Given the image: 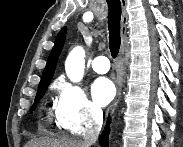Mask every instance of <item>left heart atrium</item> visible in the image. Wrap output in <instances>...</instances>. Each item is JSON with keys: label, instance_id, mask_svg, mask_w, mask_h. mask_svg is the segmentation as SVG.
Here are the masks:
<instances>
[{"label": "left heart atrium", "instance_id": "39dd6f15", "mask_svg": "<svg viewBox=\"0 0 183 147\" xmlns=\"http://www.w3.org/2000/svg\"><path fill=\"white\" fill-rule=\"evenodd\" d=\"M91 94L98 106H105L114 98L115 86L110 79L99 77L91 85Z\"/></svg>", "mask_w": 183, "mask_h": 147}]
</instances>
